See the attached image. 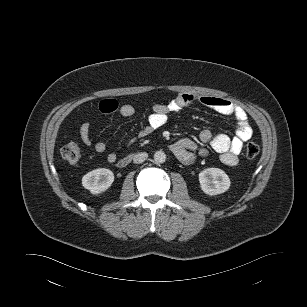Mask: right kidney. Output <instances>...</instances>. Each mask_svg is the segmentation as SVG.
<instances>
[{
    "instance_id": "ca27d5eb",
    "label": "right kidney",
    "mask_w": 307,
    "mask_h": 307,
    "mask_svg": "<svg viewBox=\"0 0 307 307\" xmlns=\"http://www.w3.org/2000/svg\"><path fill=\"white\" fill-rule=\"evenodd\" d=\"M114 181V174L106 168H98L85 174L82 178V185L92 194H99L106 191Z\"/></svg>"
}]
</instances>
